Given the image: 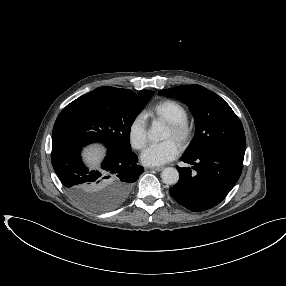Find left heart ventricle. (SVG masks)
Segmentation results:
<instances>
[{"label": "left heart ventricle", "instance_id": "1", "mask_svg": "<svg viewBox=\"0 0 286 286\" xmlns=\"http://www.w3.org/2000/svg\"><path fill=\"white\" fill-rule=\"evenodd\" d=\"M164 139H173V140H175L174 133H173V131L169 127H167V130H166L165 135H164Z\"/></svg>", "mask_w": 286, "mask_h": 286}]
</instances>
